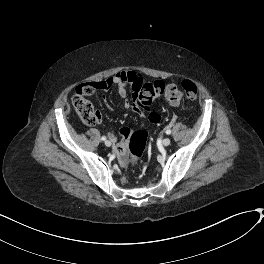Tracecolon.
Wrapping results in <instances>:
<instances>
[{
  "label": "colon",
  "mask_w": 264,
  "mask_h": 264,
  "mask_svg": "<svg viewBox=\"0 0 264 264\" xmlns=\"http://www.w3.org/2000/svg\"><path fill=\"white\" fill-rule=\"evenodd\" d=\"M98 88L97 85L84 83L76 87L72 96L73 107L88 126L96 125L100 120V113L93 107L88 97ZM198 95V88L194 81L184 79L181 86L177 84H163L158 81H144L136 94L135 101L140 106H149L159 96L168 101L179 103L182 99L194 100ZM147 143V134L143 131H134L129 139L131 157L129 165L136 167L140 164Z\"/></svg>",
  "instance_id": "obj_1"
}]
</instances>
